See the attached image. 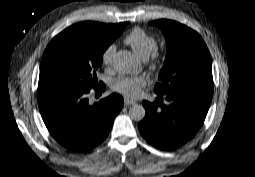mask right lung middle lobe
<instances>
[{"instance_id": "right-lung-middle-lobe-1", "label": "right lung middle lobe", "mask_w": 255, "mask_h": 177, "mask_svg": "<svg viewBox=\"0 0 255 177\" xmlns=\"http://www.w3.org/2000/svg\"><path fill=\"white\" fill-rule=\"evenodd\" d=\"M126 25L128 22L119 23L118 29L112 33L76 24L63 30L44 51L38 91L49 88H95V71L101 66L103 53L121 35Z\"/></svg>"}]
</instances>
